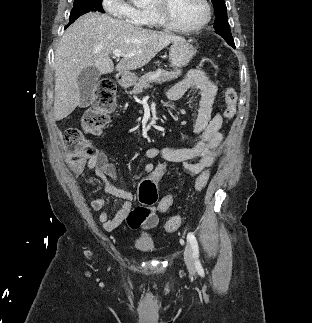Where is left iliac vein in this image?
Instances as JSON below:
<instances>
[{
    "label": "left iliac vein",
    "instance_id": "4c4485c4",
    "mask_svg": "<svg viewBox=\"0 0 312 323\" xmlns=\"http://www.w3.org/2000/svg\"><path fill=\"white\" fill-rule=\"evenodd\" d=\"M184 260H185V263L187 264V268L191 271H194L195 270V262H194V258H193V249L189 243H187L185 245Z\"/></svg>",
    "mask_w": 312,
    "mask_h": 323
}]
</instances>
